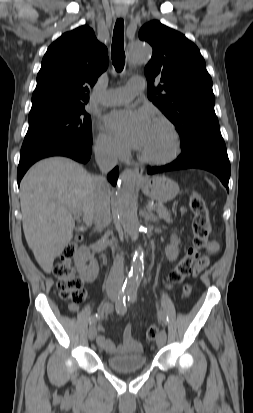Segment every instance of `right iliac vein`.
Masks as SVG:
<instances>
[{"mask_svg": "<svg viewBox=\"0 0 253 413\" xmlns=\"http://www.w3.org/2000/svg\"><path fill=\"white\" fill-rule=\"evenodd\" d=\"M110 299L113 300V301L116 300V295H115V294H111V295H110ZM96 335H97V329H96V327H95L94 325H91V326L89 327V330H88L89 339H90L91 341H93V340L95 339Z\"/></svg>", "mask_w": 253, "mask_h": 413, "instance_id": "1", "label": "right iliac vein"}]
</instances>
